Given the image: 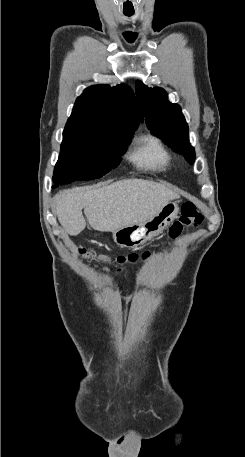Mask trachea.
I'll list each match as a JSON object with an SVG mask.
<instances>
[{
  "mask_svg": "<svg viewBox=\"0 0 245 457\" xmlns=\"http://www.w3.org/2000/svg\"><path fill=\"white\" fill-rule=\"evenodd\" d=\"M124 15H126V17H131L134 14L133 13H124Z\"/></svg>",
  "mask_w": 245,
  "mask_h": 457,
  "instance_id": "1",
  "label": "trachea"
}]
</instances>
